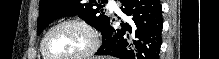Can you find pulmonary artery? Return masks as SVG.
<instances>
[{
	"mask_svg": "<svg viewBox=\"0 0 219 59\" xmlns=\"http://www.w3.org/2000/svg\"><path fill=\"white\" fill-rule=\"evenodd\" d=\"M108 7H109L111 10H114V11L117 10V9H116V6H115V4H114V1H109V2H108Z\"/></svg>",
	"mask_w": 219,
	"mask_h": 59,
	"instance_id": "pulmonary-artery-1",
	"label": "pulmonary artery"
}]
</instances>
